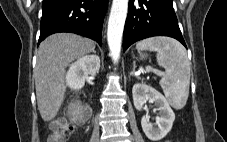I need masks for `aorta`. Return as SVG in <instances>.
<instances>
[{
    "label": "aorta",
    "instance_id": "obj_1",
    "mask_svg": "<svg viewBox=\"0 0 227 142\" xmlns=\"http://www.w3.org/2000/svg\"><path fill=\"white\" fill-rule=\"evenodd\" d=\"M128 11V0H113L108 20L107 40L114 63L120 58L124 24Z\"/></svg>",
    "mask_w": 227,
    "mask_h": 142
}]
</instances>
